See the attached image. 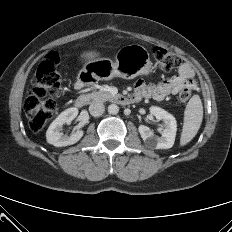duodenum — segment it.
<instances>
[{
    "mask_svg": "<svg viewBox=\"0 0 232 232\" xmlns=\"http://www.w3.org/2000/svg\"><path fill=\"white\" fill-rule=\"evenodd\" d=\"M79 91L82 89V87L77 88ZM141 99L137 95H125V96H118L116 98V101L121 105H129L135 102L140 101ZM86 102V96L84 94H80L75 99V107L76 108H82L85 105Z\"/></svg>",
    "mask_w": 232,
    "mask_h": 232,
    "instance_id": "410a0bca",
    "label": "duodenum"
}]
</instances>
